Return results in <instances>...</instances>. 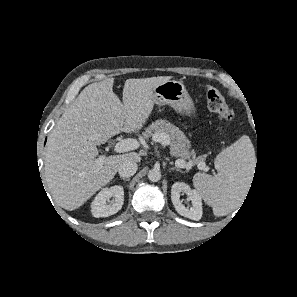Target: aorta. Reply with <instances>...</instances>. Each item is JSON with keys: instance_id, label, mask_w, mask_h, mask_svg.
<instances>
[{"instance_id": "obj_1", "label": "aorta", "mask_w": 297, "mask_h": 297, "mask_svg": "<svg viewBox=\"0 0 297 297\" xmlns=\"http://www.w3.org/2000/svg\"><path fill=\"white\" fill-rule=\"evenodd\" d=\"M148 179L152 182H157L161 179V171L159 169H151L148 172Z\"/></svg>"}]
</instances>
